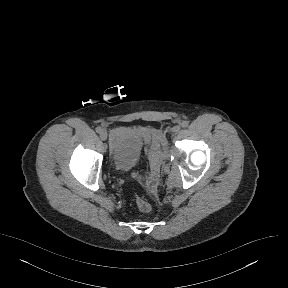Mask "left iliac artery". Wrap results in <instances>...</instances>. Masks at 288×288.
<instances>
[{"instance_id": "obj_1", "label": "left iliac artery", "mask_w": 288, "mask_h": 288, "mask_svg": "<svg viewBox=\"0 0 288 288\" xmlns=\"http://www.w3.org/2000/svg\"><path fill=\"white\" fill-rule=\"evenodd\" d=\"M188 125H189V121H187V120H184V121L181 122V126L183 128L187 127Z\"/></svg>"}]
</instances>
